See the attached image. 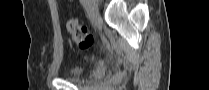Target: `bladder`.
Here are the masks:
<instances>
[{
	"mask_svg": "<svg viewBox=\"0 0 209 90\" xmlns=\"http://www.w3.org/2000/svg\"><path fill=\"white\" fill-rule=\"evenodd\" d=\"M82 74V68L80 66H73L68 70V77L76 78Z\"/></svg>",
	"mask_w": 209,
	"mask_h": 90,
	"instance_id": "bladder-1",
	"label": "bladder"
}]
</instances>
